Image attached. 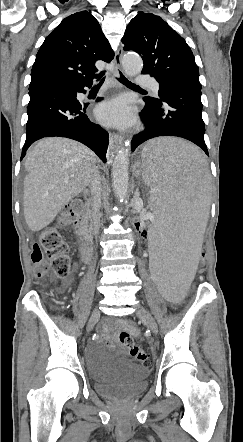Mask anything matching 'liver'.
I'll use <instances>...</instances> for the list:
<instances>
[{"label": "liver", "mask_w": 243, "mask_h": 442, "mask_svg": "<svg viewBox=\"0 0 243 442\" xmlns=\"http://www.w3.org/2000/svg\"><path fill=\"white\" fill-rule=\"evenodd\" d=\"M96 155L85 145L67 138L38 141L27 155L23 208L27 226L37 232L92 180ZM66 179L68 181L66 182Z\"/></svg>", "instance_id": "6515ba94"}]
</instances>
